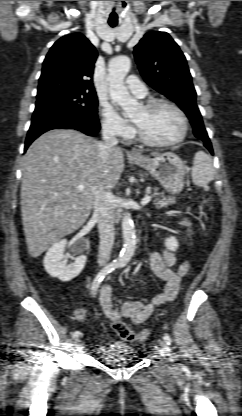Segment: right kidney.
I'll return each mask as SVG.
<instances>
[{
  "instance_id": "obj_1",
  "label": "right kidney",
  "mask_w": 242,
  "mask_h": 416,
  "mask_svg": "<svg viewBox=\"0 0 242 416\" xmlns=\"http://www.w3.org/2000/svg\"><path fill=\"white\" fill-rule=\"evenodd\" d=\"M67 245V240L62 239L54 243L46 253L44 258V268L46 272L61 281H70L80 274L83 270L87 257L80 255L73 257L64 255V249ZM73 260L70 262L68 259Z\"/></svg>"
}]
</instances>
